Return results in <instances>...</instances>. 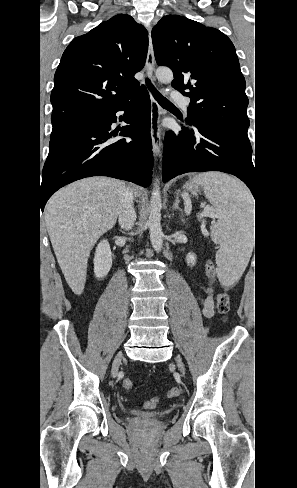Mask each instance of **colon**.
Returning a JSON list of instances; mask_svg holds the SVG:
<instances>
[{
    "mask_svg": "<svg viewBox=\"0 0 297 488\" xmlns=\"http://www.w3.org/2000/svg\"><path fill=\"white\" fill-rule=\"evenodd\" d=\"M216 271V266L215 263L212 260H207L205 263V272L209 277L214 276ZM216 306L217 309L220 313L226 314L228 313L230 309V298L229 296L224 293L220 292L218 293L216 297ZM123 387L126 390H131L133 388V382L130 379H126L123 382ZM180 394V389L177 387L170 388L167 392L168 397L170 398H176ZM159 403L158 399H151L145 403V408L146 409H154Z\"/></svg>",
    "mask_w": 297,
    "mask_h": 488,
    "instance_id": "colon-1",
    "label": "colon"
}]
</instances>
